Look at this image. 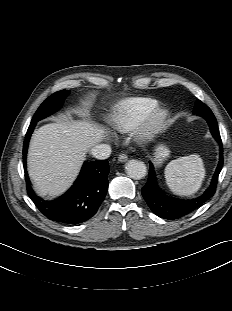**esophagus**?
Segmentation results:
<instances>
[{"label":"esophagus","instance_id":"esophagus-1","mask_svg":"<svg viewBox=\"0 0 232 311\" xmlns=\"http://www.w3.org/2000/svg\"><path fill=\"white\" fill-rule=\"evenodd\" d=\"M118 160L120 162H126L128 160V155L125 154V153H121L119 156H118Z\"/></svg>","mask_w":232,"mask_h":311}]
</instances>
